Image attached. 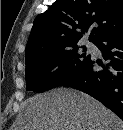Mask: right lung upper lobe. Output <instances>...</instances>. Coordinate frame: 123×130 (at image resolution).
<instances>
[{"label":"right lung upper lobe","instance_id":"cb5924a9","mask_svg":"<svg viewBox=\"0 0 123 130\" xmlns=\"http://www.w3.org/2000/svg\"><path fill=\"white\" fill-rule=\"evenodd\" d=\"M123 26V0H57L33 23L25 59L77 45L90 31L95 42Z\"/></svg>","mask_w":123,"mask_h":130}]
</instances>
